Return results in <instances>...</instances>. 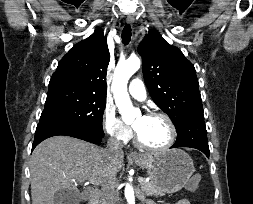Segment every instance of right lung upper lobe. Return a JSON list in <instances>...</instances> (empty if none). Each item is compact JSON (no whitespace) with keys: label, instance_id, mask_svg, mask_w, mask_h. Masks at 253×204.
I'll return each mask as SVG.
<instances>
[{"label":"right lung upper lobe","instance_id":"cb5924a9","mask_svg":"<svg viewBox=\"0 0 253 204\" xmlns=\"http://www.w3.org/2000/svg\"><path fill=\"white\" fill-rule=\"evenodd\" d=\"M109 61L106 37L97 29L90 37L74 45L61 59L49 86L75 87L106 98Z\"/></svg>","mask_w":253,"mask_h":204}]
</instances>
